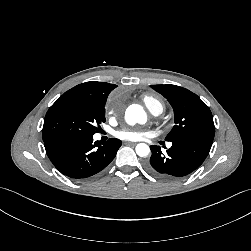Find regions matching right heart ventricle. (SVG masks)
<instances>
[{
  "label": "right heart ventricle",
  "instance_id": "e07e8e85",
  "mask_svg": "<svg viewBox=\"0 0 251 251\" xmlns=\"http://www.w3.org/2000/svg\"><path fill=\"white\" fill-rule=\"evenodd\" d=\"M142 101L151 112L157 111L161 113L163 111V103L154 96L144 95Z\"/></svg>",
  "mask_w": 251,
  "mask_h": 251
}]
</instances>
